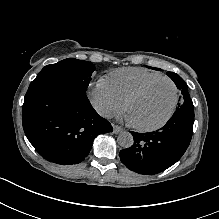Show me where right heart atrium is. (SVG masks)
Wrapping results in <instances>:
<instances>
[{"mask_svg": "<svg viewBox=\"0 0 219 219\" xmlns=\"http://www.w3.org/2000/svg\"><path fill=\"white\" fill-rule=\"evenodd\" d=\"M88 96L96 111L105 118H111L123 110V103L114 96L104 80L91 86Z\"/></svg>", "mask_w": 219, "mask_h": 219, "instance_id": "obj_1", "label": "right heart atrium"}]
</instances>
